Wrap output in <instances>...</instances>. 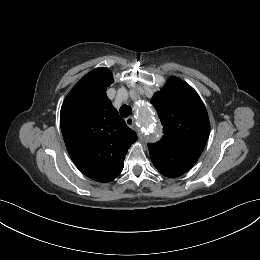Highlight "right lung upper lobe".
Returning a JSON list of instances; mask_svg holds the SVG:
<instances>
[{
  "mask_svg": "<svg viewBox=\"0 0 260 260\" xmlns=\"http://www.w3.org/2000/svg\"><path fill=\"white\" fill-rule=\"evenodd\" d=\"M114 82L107 68L82 77L67 95L60 126L68 153L78 169L98 182H110L123 170V161L137 137L108 99Z\"/></svg>",
  "mask_w": 260,
  "mask_h": 260,
  "instance_id": "1",
  "label": "right lung upper lobe"
}]
</instances>
